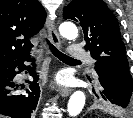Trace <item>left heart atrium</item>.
Listing matches in <instances>:
<instances>
[{
    "label": "left heart atrium",
    "mask_w": 133,
    "mask_h": 118,
    "mask_svg": "<svg viewBox=\"0 0 133 118\" xmlns=\"http://www.w3.org/2000/svg\"><path fill=\"white\" fill-rule=\"evenodd\" d=\"M58 82H62L63 81V78L60 76L57 78Z\"/></svg>",
    "instance_id": "1"
}]
</instances>
